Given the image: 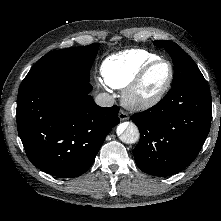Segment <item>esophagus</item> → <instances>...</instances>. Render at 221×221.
I'll use <instances>...</instances> for the list:
<instances>
[{"label": "esophagus", "instance_id": "1", "mask_svg": "<svg viewBox=\"0 0 221 221\" xmlns=\"http://www.w3.org/2000/svg\"><path fill=\"white\" fill-rule=\"evenodd\" d=\"M118 117L121 121H124V120H128L129 119V115L128 113H126L125 111L123 110H120L119 113H118Z\"/></svg>", "mask_w": 221, "mask_h": 221}]
</instances>
